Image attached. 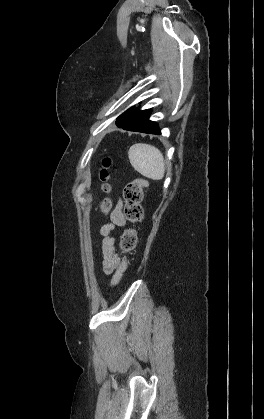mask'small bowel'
<instances>
[{
	"label": "small bowel",
	"instance_id": "1",
	"mask_svg": "<svg viewBox=\"0 0 264 419\" xmlns=\"http://www.w3.org/2000/svg\"><path fill=\"white\" fill-rule=\"evenodd\" d=\"M122 202L119 201L110 215V223L101 228V255H102V269L107 275L113 274L119 267L122 261V252H118L115 246L116 240L110 236V232L115 228H120L125 225L126 221L122 213Z\"/></svg>",
	"mask_w": 264,
	"mask_h": 419
}]
</instances>
